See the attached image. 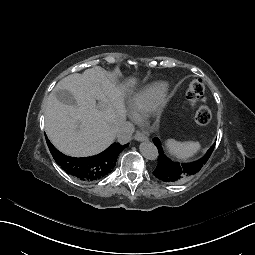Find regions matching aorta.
<instances>
[{
    "label": "aorta",
    "mask_w": 255,
    "mask_h": 255,
    "mask_svg": "<svg viewBox=\"0 0 255 255\" xmlns=\"http://www.w3.org/2000/svg\"><path fill=\"white\" fill-rule=\"evenodd\" d=\"M139 149L142 156L148 160H156L158 157V150L150 141L142 142Z\"/></svg>",
    "instance_id": "1"
}]
</instances>
